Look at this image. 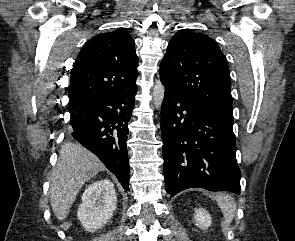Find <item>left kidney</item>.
<instances>
[{
  "instance_id": "left-kidney-1",
  "label": "left kidney",
  "mask_w": 295,
  "mask_h": 241,
  "mask_svg": "<svg viewBox=\"0 0 295 241\" xmlns=\"http://www.w3.org/2000/svg\"><path fill=\"white\" fill-rule=\"evenodd\" d=\"M194 220L196 225L202 229H207L212 222L209 212L204 208L195 209Z\"/></svg>"
}]
</instances>
